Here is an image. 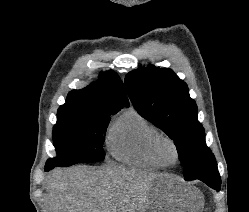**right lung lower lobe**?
<instances>
[{
  "label": "right lung lower lobe",
  "instance_id": "1",
  "mask_svg": "<svg viewBox=\"0 0 249 212\" xmlns=\"http://www.w3.org/2000/svg\"><path fill=\"white\" fill-rule=\"evenodd\" d=\"M54 168V167H53ZM52 169V167L45 166V171Z\"/></svg>",
  "mask_w": 249,
  "mask_h": 212
}]
</instances>
